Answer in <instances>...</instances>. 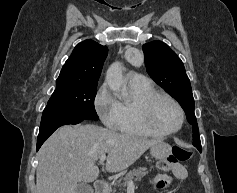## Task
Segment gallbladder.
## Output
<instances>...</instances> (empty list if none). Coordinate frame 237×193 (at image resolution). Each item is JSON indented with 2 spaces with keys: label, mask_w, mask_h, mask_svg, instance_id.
Returning <instances> with one entry per match:
<instances>
[{
  "label": "gallbladder",
  "mask_w": 237,
  "mask_h": 193,
  "mask_svg": "<svg viewBox=\"0 0 237 193\" xmlns=\"http://www.w3.org/2000/svg\"><path fill=\"white\" fill-rule=\"evenodd\" d=\"M76 193H93V188L85 183H79L76 189Z\"/></svg>",
  "instance_id": "1"
}]
</instances>
